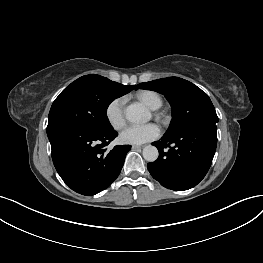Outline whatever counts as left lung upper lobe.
<instances>
[{"label":"left lung upper lobe","instance_id":"5c2ea615","mask_svg":"<svg viewBox=\"0 0 263 263\" xmlns=\"http://www.w3.org/2000/svg\"><path fill=\"white\" fill-rule=\"evenodd\" d=\"M148 89L163 94L172 107V121L167 136L192 127L215 126L218 117L208 95L193 83L178 77H168L140 83L136 89Z\"/></svg>","mask_w":263,"mask_h":263}]
</instances>
